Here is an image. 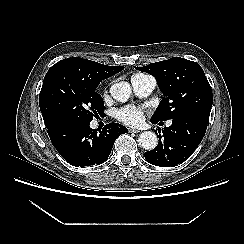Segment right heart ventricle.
Here are the masks:
<instances>
[{
    "label": "right heart ventricle",
    "mask_w": 244,
    "mask_h": 244,
    "mask_svg": "<svg viewBox=\"0 0 244 244\" xmlns=\"http://www.w3.org/2000/svg\"><path fill=\"white\" fill-rule=\"evenodd\" d=\"M138 75H140V74L133 75V77L138 76ZM133 77H132V78H133Z\"/></svg>",
    "instance_id": "obj_1"
}]
</instances>
